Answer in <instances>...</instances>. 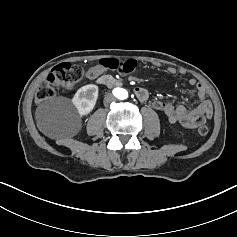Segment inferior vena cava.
Returning a JSON list of instances; mask_svg holds the SVG:
<instances>
[{
  "instance_id": "obj_1",
  "label": "inferior vena cava",
  "mask_w": 237,
  "mask_h": 237,
  "mask_svg": "<svg viewBox=\"0 0 237 237\" xmlns=\"http://www.w3.org/2000/svg\"><path fill=\"white\" fill-rule=\"evenodd\" d=\"M115 100L116 98L113 94H107L104 99V104L109 105L111 102H114Z\"/></svg>"
}]
</instances>
